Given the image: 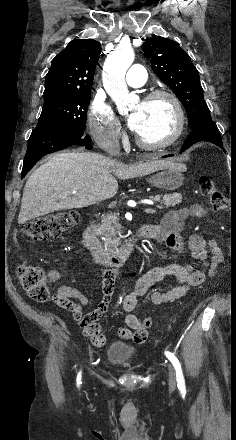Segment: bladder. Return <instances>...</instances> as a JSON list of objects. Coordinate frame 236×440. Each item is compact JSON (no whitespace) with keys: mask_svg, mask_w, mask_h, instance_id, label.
<instances>
[{"mask_svg":"<svg viewBox=\"0 0 236 440\" xmlns=\"http://www.w3.org/2000/svg\"><path fill=\"white\" fill-rule=\"evenodd\" d=\"M135 356V349L124 342L112 343L107 351V361L113 365L124 366Z\"/></svg>","mask_w":236,"mask_h":440,"instance_id":"bladder-1","label":"bladder"}]
</instances>
